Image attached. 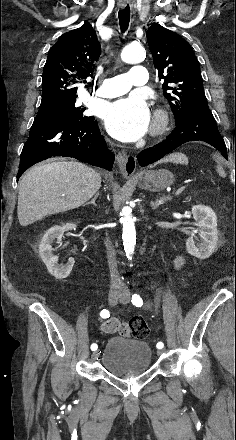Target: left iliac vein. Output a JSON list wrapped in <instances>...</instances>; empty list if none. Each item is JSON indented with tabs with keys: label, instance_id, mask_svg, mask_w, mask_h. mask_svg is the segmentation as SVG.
I'll use <instances>...</instances> for the list:
<instances>
[{
	"label": "left iliac vein",
	"instance_id": "obj_1",
	"mask_svg": "<svg viewBox=\"0 0 236 440\" xmlns=\"http://www.w3.org/2000/svg\"><path fill=\"white\" fill-rule=\"evenodd\" d=\"M119 301H120L122 304H128V303L130 302V295H129L128 293H126V292L123 293V294H121ZM162 353H163L162 350H158V351H157V354H158V355H161Z\"/></svg>",
	"mask_w": 236,
	"mask_h": 440
}]
</instances>
